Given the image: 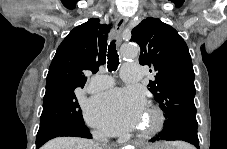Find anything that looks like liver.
<instances>
[{"mask_svg":"<svg viewBox=\"0 0 227 149\" xmlns=\"http://www.w3.org/2000/svg\"><path fill=\"white\" fill-rule=\"evenodd\" d=\"M171 147V146H167ZM41 149H101L100 146L91 140L75 138V137H58L55 138Z\"/></svg>","mask_w":227,"mask_h":149,"instance_id":"1","label":"liver"}]
</instances>
